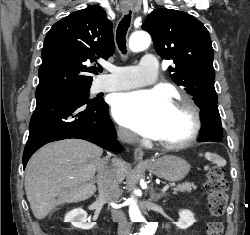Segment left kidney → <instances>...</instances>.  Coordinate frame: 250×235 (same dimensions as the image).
I'll return each instance as SVG.
<instances>
[{
	"label": "left kidney",
	"instance_id": "5707ae66",
	"mask_svg": "<svg viewBox=\"0 0 250 235\" xmlns=\"http://www.w3.org/2000/svg\"><path fill=\"white\" fill-rule=\"evenodd\" d=\"M179 217L175 224L180 229H187L196 222L194 214L190 210H180Z\"/></svg>",
	"mask_w": 250,
	"mask_h": 235
}]
</instances>
